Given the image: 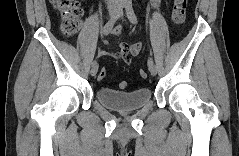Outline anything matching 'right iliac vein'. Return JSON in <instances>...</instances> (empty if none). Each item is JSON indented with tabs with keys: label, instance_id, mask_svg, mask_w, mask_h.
Instances as JSON below:
<instances>
[{
	"label": "right iliac vein",
	"instance_id": "1",
	"mask_svg": "<svg viewBox=\"0 0 239 156\" xmlns=\"http://www.w3.org/2000/svg\"><path fill=\"white\" fill-rule=\"evenodd\" d=\"M114 13H115V9H113V8L109 9L108 14L110 17H112L114 15ZM97 71H98V64L92 65V68L90 71L91 75L95 76L97 74Z\"/></svg>",
	"mask_w": 239,
	"mask_h": 156
}]
</instances>
